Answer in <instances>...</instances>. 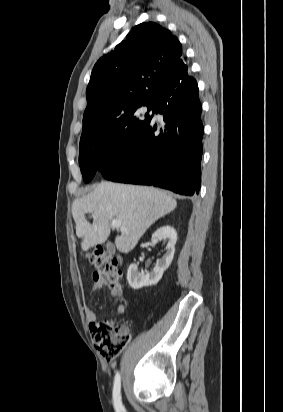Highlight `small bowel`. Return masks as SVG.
Instances as JSON below:
<instances>
[{"instance_id": "c3829d8e", "label": "small bowel", "mask_w": 283, "mask_h": 412, "mask_svg": "<svg viewBox=\"0 0 283 412\" xmlns=\"http://www.w3.org/2000/svg\"><path fill=\"white\" fill-rule=\"evenodd\" d=\"M105 285H106V282L103 279L94 278V282H93L92 287L90 288V290L88 292L87 297L90 298L97 291L102 289ZM124 311H125V306L123 304H119L113 309V313H115V314H123ZM85 313H86L87 322H88L89 326H91L94 322H96L97 315L88 306H86V308H85Z\"/></svg>"}]
</instances>
